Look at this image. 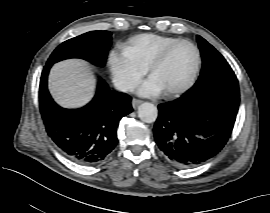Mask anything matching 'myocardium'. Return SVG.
Returning a JSON list of instances; mask_svg holds the SVG:
<instances>
[{
  "label": "myocardium",
  "instance_id": "f54148a6",
  "mask_svg": "<svg viewBox=\"0 0 270 213\" xmlns=\"http://www.w3.org/2000/svg\"><path fill=\"white\" fill-rule=\"evenodd\" d=\"M183 44L190 45L194 49L195 54H196V65L194 67V70L192 72L190 79L183 86H181L177 89L167 90V91L163 92V94L165 96H168V97L183 94L186 91H188L190 88H192V86L194 85V83L197 79V76H198L200 65H201V55H200V51H199L198 47L193 42H191L189 40H185V39L178 40V41L172 43L171 45L167 46L164 50H162L150 62L149 66H148L149 76L152 77L154 70L167 58L169 53L177 46L183 45Z\"/></svg>",
  "mask_w": 270,
  "mask_h": 213
}]
</instances>
